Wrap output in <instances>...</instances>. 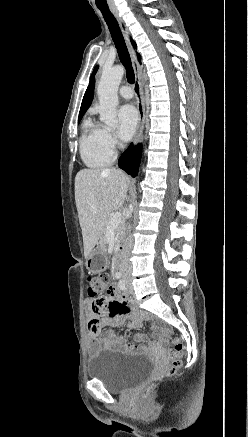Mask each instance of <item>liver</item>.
<instances>
[{
  "label": "liver",
  "mask_w": 248,
  "mask_h": 437,
  "mask_svg": "<svg viewBox=\"0 0 248 437\" xmlns=\"http://www.w3.org/2000/svg\"><path fill=\"white\" fill-rule=\"evenodd\" d=\"M129 182V177L116 169H82L77 173L75 201L85 257L102 236L110 213L123 206Z\"/></svg>",
  "instance_id": "1"
}]
</instances>
